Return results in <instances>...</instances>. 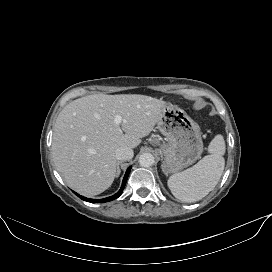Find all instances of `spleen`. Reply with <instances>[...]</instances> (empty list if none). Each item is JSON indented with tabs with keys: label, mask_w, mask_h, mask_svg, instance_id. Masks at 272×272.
<instances>
[{
	"label": "spleen",
	"mask_w": 272,
	"mask_h": 272,
	"mask_svg": "<svg viewBox=\"0 0 272 272\" xmlns=\"http://www.w3.org/2000/svg\"><path fill=\"white\" fill-rule=\"evenodd\" d=\"M225 141L216 135L210 142L209 155L193 167L172 175L168 187L172 194L182 202H195L204 198L217 185L225 166Z\"/></svg>",
	"instance_id": "1"
}]
</instances>
